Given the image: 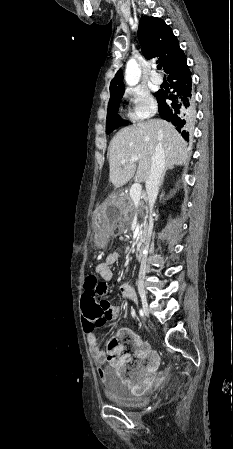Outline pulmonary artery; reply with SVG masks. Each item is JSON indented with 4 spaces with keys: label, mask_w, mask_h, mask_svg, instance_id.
Here are the masks:
<instances>
[{
    "label": "pulmonary artery",
    "mask_w": 233,
    "mask_h": 449,
    "mask_svg": "<svg viewBox=\"0 0 233 449\" xmlns=\"http://www.w3.org/2000/svg\"><path fill=\"white\" fill-rule=\"evenodd\" d=\"M151 81L154 83V84H161L162 83V77L157 73V72H153L152 74H151Z\"/></svg>",
    "instance_id": "1"
}]
</instances>
